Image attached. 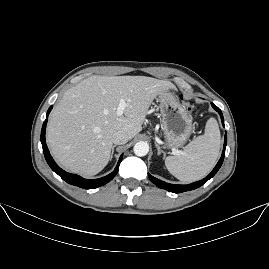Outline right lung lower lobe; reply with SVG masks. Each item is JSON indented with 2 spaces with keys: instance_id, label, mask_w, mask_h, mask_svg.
<instances>
[{
  "instance_id": "obj_1",
  "label": "right lung lower lobe",
  "mask_w": 269,
  "mask_h": 269,
  "mask_svg": "<svg viewBox=\"0 0 269 269\" xmlns=\"http://www.w3.org/2000/svg\"><path fill=\"white\" fill-rule=\"evenodd\" d=\"M52 107L53 106H51L47 111L46 120L43 123L42 131H41V143H42L43 153H44L45 159H46L48 165L51 167V169L54 172H56L67 183L78 186L80 188H84V189H94V188L103 186L106 183H108L109 181H111L118 172L119 164L122 161L123 155L120 156L118 164L113 172H111L109 175H107L105 177H102L99 179H92V180L84 179L78 175L67 173L64 170H62L55 163V161L53 160V158L51 157V155L49 153V150L47 148L46 141H45L46 124H47V120H48V115H49Z\"/></svg>"
}]
</instances>
